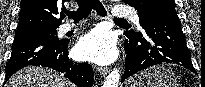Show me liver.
I'll use <instances>...</instances> for the list:
<instances>
[{
	"instance_id": "obj_1",
	"label": "liver",
	"mask_w": 205,
	"mask_h": 87,
	"mask_svg": "<svg viewBox=\"0 0 205 87\" xmlns=\"http://www.w3.org/2000/svg\"><path fill=\"white\" fill-rule=\"evenodd\" d=\"M5 87H71V84L53 70L29 66L15 73Z\"/></svg>"
}]
</instances>
